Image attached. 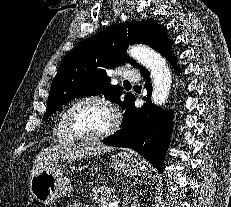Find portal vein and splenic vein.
I'll return each mask as SVG.
<instances>
[{"instance_id":"18ae733b","label":"portal vein and splenic vein","mask_w":231,"mask_h":207,"mask_svg":"<svg viewBox=\"0 0 231 207\" xmlns=\"http://www.w3.org/2000/svg\"><path fill=\"white\" fill-rule=\"evenodd\" d=\"M118 204H119V200L113 202L104 201L102 202L101 207H118Z\"/></svg>"}]
</instances>
